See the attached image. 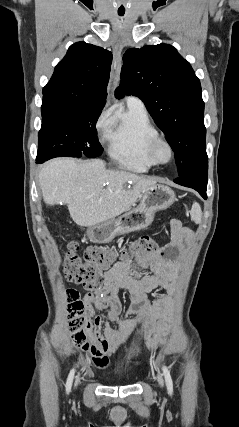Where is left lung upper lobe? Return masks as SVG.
Wrapping results in <instances>:
<instances>
[{"instance_id":"obj_1","label":"left lung upper lobe","mask_w":239,"mask_h":427,"mask_svg":"<svg viewBox=\"0 0 239 427\" xmlns=\"http://www.w3.org/2000/svg\"><path fill=\"white\" fill-rule=\"evenodd\" d=\"M115 96H138L172 147L178 176L208 160L201 85L169 44L128 49Z\"/></svg>"}]
</instances>
